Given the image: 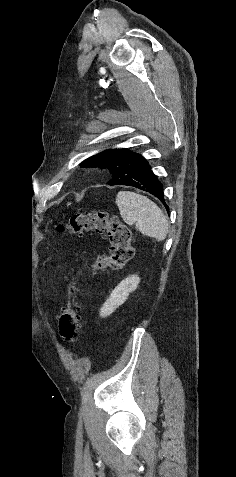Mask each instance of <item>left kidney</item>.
I'll return each instance as SVG.
<instances>
[{
  "label": "left kidney",
  "mask_w": 236,
  "mask_h": 477,
  "mask_svg": "<svg viewBox=\"0 0 236 477\" xmlns=\"http://www.w3.org/2000/svg\"><path fill=\"white\" fill-rule=\"evenodd\" d=\"M139 283L140 278L137 275H132L122 280L103 304L100 310V316L104 318L112 314L116 308L127 300L129 294L136 290Z\"/></svg>",
  "instance_id": "obj_1"
}]
</instances>
